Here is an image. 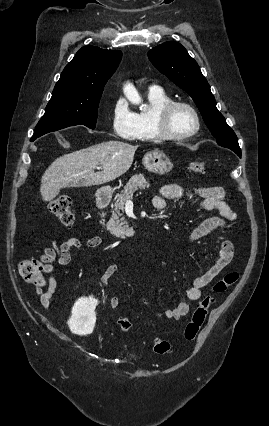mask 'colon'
<instances>
[{
    "mask_svg": "<svg viewBox=\"0 0 269 426\" xmlns=\"http://www.w3.org/2000/svg\"><path fill=\"white\" fill-rule=\"evenodd\" d=\"M191 171L197 174L206 173V165L200 161H192L189 165ZM50 213L64 226H71L75 221V210L69 196H58L49 203ZM17 271L21 279L29 285L41 286L44 284L43 270L41 263L34 258H23L17 263ZM239 274L236 271L227 273L223 278L216 281L212 287V293L205 295L194 309L191 318L184 329V337L192 341L198 335L203 326L208 311L215 301L214 294H222L236 284ZM122 331L127 332L132 329V322L128 318H121L118 321ZM153 350L158 354H168L171 345L166 340L157 339L153 343Z\"/></svg>",
    "mask_w": 269,
    "mask_h": 426,
    "instance_id": "colon-1",
    "label": "colon"
}]
</instances>
